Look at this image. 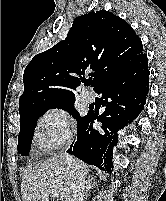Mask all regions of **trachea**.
Here are the masks:
<instances>
[{
	"label": "trachea",
	"instance_id": "trachea-1",
	"mask_svg": "<svg viewBox=\"0 0 166 201\" xmlns=\"http://www.w3.org/2000/svg\"><path fill=\"white\" fill-rule=\"evenodd\" d=\"M85 85L87 86L90 85V81L85 82Z\"/></svg>",
	"mask_w": 166,
	"mask_h": 201
}]
</instances>
